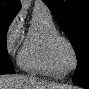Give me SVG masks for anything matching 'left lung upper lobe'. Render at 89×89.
<instances>
[{
  "label": "left lung upper lobe",
  "mask_w": 89,
  "mask_h": 89,
  "mask_svg": "<svg viewBox=\"0 0 89 89\" xmlns=\"http://www.w3.org/2000/svg\"><path fill=\"white\" fill-rule=\"evenodd\" d=\"M70 40L77 56L73 82L89 81V0H43Z\"/></svg>",
  "instance_id": "5c2ea615"
}]
</instances>
